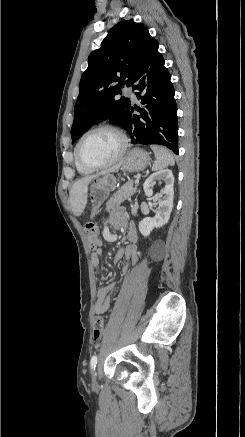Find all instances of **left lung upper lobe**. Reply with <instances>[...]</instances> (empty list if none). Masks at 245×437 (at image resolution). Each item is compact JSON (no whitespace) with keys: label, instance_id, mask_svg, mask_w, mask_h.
Instances as JSON below:
<instances>
[{"label":"left lung upper lobe","instance_id":"1","mask_svg":"<svg viewBox=\"0 0 245 437\" xmlns=\"http://www.w3.org/2000/svg\"><path fill=\"white\" fill-rule=\"evenodd\" d=\"M156 46L158 42L148 29L133 19L122 20L110 29L101 47L89 55L88 68L81 77L72 142L106 119L126 128L130 100H116L115 96L121 94L125 83L133 86L142 63Z\"/></svg>","mask_w":245,"mask_h":437}]
</instances>
